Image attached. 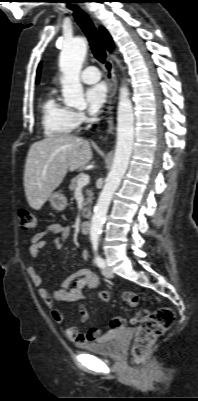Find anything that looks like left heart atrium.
<instances>
[{
  "label": "left heart atrium",
  "mask_w": 198,
  "mask_h": 401,
  "mask_svg": "<svg viewBox=\"0 0 198 401\" xmlns=\"http://www.w3.org/2000/svg\"><path fill=\"white\" fill-rule=\"evenodd\" d=\"M85 99L88 111L97 114L107 101V86L104 83L90 86L85 92Z\"/></svg>",
  "instance_id": "left-heart-atrium-1"
}]
</instances>
